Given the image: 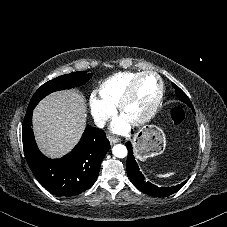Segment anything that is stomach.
<instances>
[{
  "mask_svg": "<svg viewBox=\"0 0 227 227\" xmlns=\"http://www.w3.org/2000/svg\"><path fill=\"white\" fill-rule=\"evenodd\" d=\"M134 152L138 159L145 160L161 154L166 147V137L161 128L149 125L133 138Z\"/></svg>",
  "mask_w": 227,
  "mask_h": 227,
  "instance_id": "1",
  "label": "stomach"
}]
</instances>
